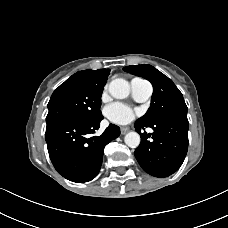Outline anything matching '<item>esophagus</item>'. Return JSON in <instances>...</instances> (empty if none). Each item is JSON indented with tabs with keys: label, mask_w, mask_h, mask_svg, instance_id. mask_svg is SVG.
Masks as SVG:
<instances>
[{
	"label": "esophagus",
	"mask_w": 228,
	"mask_h": 228,
	"mask_svg": "<svg viewBox=\"0 0 228 228\" xmlns=\"http://www.w3.org/2000/svg\"><path fill=\"white\" fill-rule=\"evenodd\" d=\"M121 134H126L129 131L128 127H121Z\"/></svg>",
	"instance_id": "obj_1"
}]
</instances>
